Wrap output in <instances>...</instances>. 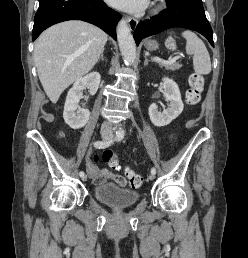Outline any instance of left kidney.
I'll use <instances>...</instances> for the list:
<instances>
[{
    "label": "left kidney",
    "instance_id": "5707ae66",
    "mask_svg": "<svg viewBox=\"0 0 248 258\" xmlns=\"http://www.w3.org/2000/svg\"><path fill=\"white\" fill-rule=\"evenodd\" d=\"M163 94L169 105L163 112L158 111L156 103H152L149 107V117L151 122L157 127H163L170 124L183 111L184 105L181 99V94L178 85L172 79L164 77L163 79Z\"/></svg>",
    "mask_w": 248,
    "mask_h": 258
}]
</instances>
